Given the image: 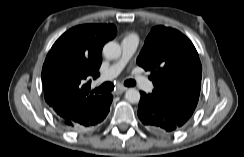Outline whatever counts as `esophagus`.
Returning a JSON list of instances; mask_svg holds the SVG:
<instances>
[{"label":"esophagus","mask_w":244,"mask_h":157,"mask_svg":"<svg viewBox=\"0 0 244 157\" xmlns=\"http://www.w3.org/2000/svg\"><path fill=\"white\" fill-rule=\"evenodd\" d=\"M126 90H127V88L124 86H117V88L114 90V94L119 95V94H122L123 92H125Z\"/></svg>","instance_id":"esophagus-1"}]
</instances>
